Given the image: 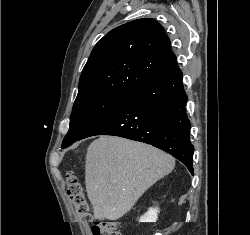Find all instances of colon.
Instances as JSON below:
<instances>
[{
	"label": "colon",
	"mask_w": 250,
	"mask_h": 235,
	"mask_svg": "<svg viewBox=\"0 0 250 235\" xmlns=\"http://www.w3.org/2000/svg\"><path fill=\"white\" fill-rule=\"evenodd\" d=\"M67 194L75 208L77 215L87 223H93V235H122L120 225L116 221L93 222V216L87 203L82 187L74 172L66 173Z\"/></svg>",
	"instance_id": "colon-1"
}]
</instances>
